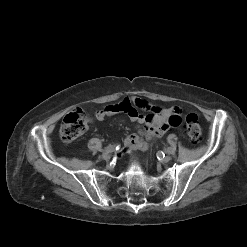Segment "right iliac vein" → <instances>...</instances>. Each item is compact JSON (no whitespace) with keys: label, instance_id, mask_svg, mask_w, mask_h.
<instances>
[{"label":"right iliac vein","instance_id":"63e3f726","mask_svg":"<svg viewBox=\"0 0 247 247\" xmlns=\"http://www.w3.org/2000/svg\"><path fill=\"white\" fill-rule=\"evenodd\" d=\"M110 157H111V155H110L109 152H105V153L102 154V158H103L104 160H109Z\"/></svg>","mask_w":247,"mask_h":247}]
</instances>
